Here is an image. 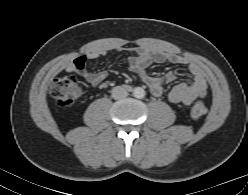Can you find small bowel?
Masks as SVG:
<instances>
[{"mask_svg":"<svg viewBox=\"0 0 248 195\" xmlns=\"http://www.w3.org/2000/svg\"><path fill=\"white\" fill-rule=\"evenodd\" d=\"M104 51L90 53L76 58L65 67L66 72H75L85 79L93 88H98L107 78L105 71L90 72L85 69L88 60L104 56ZM128 68L148 86L152 95L159 97L163 93L164 84L174 81L176 76L168 73L162 77H154L146 73L145 69L151 63L170 62L173 64H187L193 81L190 83H179L172 88L168 94V100L175 105H189L196 98L207 94V83L202 68L196 63H188L176 54L167 53L162 50L140 48L134 51V55L126 59Z\"/></svg>","mask_w":248,"mask_h":195,"instance_id":"c3829d8e","label":"small bowel"}]
</instances>
